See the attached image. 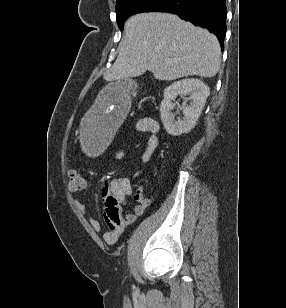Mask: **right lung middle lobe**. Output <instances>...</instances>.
I'll list each match as a JSON object with an SVG mask.
<instances>
[{
	"instance_id": "obj_1",
	"label": "right lung middle lobe",
	"mask_w": 286,
	"mask_h": 308,
	"mask_svg": "<svg viewBox=\"0 0 286 308\" xmlns=\"http://www.w3.org/2000/svg\"><path fill=\"white\" fill-rule=\"evenodd\" d=\"M168 0H120L116 3V20L120 29L124 21L131 15L153 11Z\"/></svg>"
}]
</instances>
